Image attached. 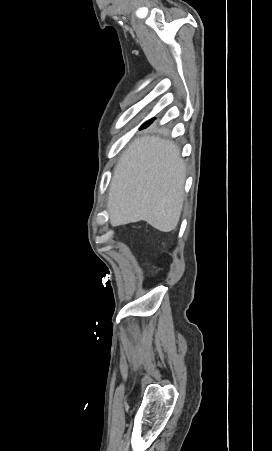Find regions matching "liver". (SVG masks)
<instances>
[{
    "mask_svg": "<svg viewBox=\"0 0 272 451\" xmlns=\"http://www.w3.org/2000/svg\"><path fill=\"white\" fill-rule=\"evenodd\" d=\"M186 166L174 142L142 136L129 144L111 180L107 208L111 226L145 220L171 231L183 208Z\"/></svg>",
    "mask_w": 272,
    "mask_h": 451,
    "instance_id": "obj_1",
    "label": "liver"
}]
</instances>
